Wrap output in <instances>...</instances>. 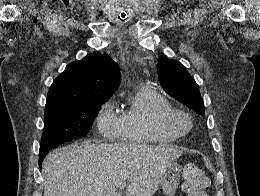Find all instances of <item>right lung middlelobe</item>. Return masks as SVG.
Instances as JSON below:
<instances>
[{
    "label": "right lung middle lobe",
    "mask_w": 260,
    "mask_h": 196,
    "mask_svg": "<svg viewBox=\"0 0 260 196\" xmlns=\"http://www.w3.org/2000/svg\"><path fill=\"white\" fill-rule=\"evenodd\" d=\"M105 101L96 99L46 106L40 149H52L66 141L86 136Z\"/></svg>",
    "instance_id": "right-lung-middle-lobe-1"
}]
</instances>
